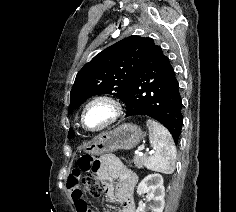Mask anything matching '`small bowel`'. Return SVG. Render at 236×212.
I'll list each match as a JSON object with an SVG mask.
<instances>
[{"label":"small bowel","instance_id":"1","mask_svg":"<svg viewBox=\"0 0 236 212\" xmlns=\"http://www.w3.org/2000/svg\"><path fill=\"white\" fill-rule=\"evenodd\" d=\"M97 163L98 167L94 168V171L102 177L111 201L121 205V212H136L133 188L137 177L133 171L109 154L103 155ZM80 172V169H75L69 175L67 189L77 212H89L87 201L82 191L77 187ZM113 180L117 181L115 187L112 186Z\"/></svg>","mask_w":236,"mask_h":212}]
</instances>
